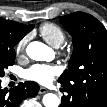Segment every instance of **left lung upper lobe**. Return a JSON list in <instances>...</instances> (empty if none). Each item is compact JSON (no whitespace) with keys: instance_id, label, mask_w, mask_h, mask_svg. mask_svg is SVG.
I'll return each instance as SVG.
<instances>
[{"instance_id":"obj_1","label":"left lung upper lobe","mask_w":107,"mask_h":107,"mask_svg":"<svg viewBox=\"0 0 107 107\" xmlns=\"http://www.w3.org/2000/svg\"><path fill=\"white\" fill-rule=\"evenodd\" d=\"M59 20L72 36L74 50L68 69L58 82L72 91L70 107H80L83 83L107 80V30L95 17L84 12L62 16Z\"/></svg>"}]
</instances>
